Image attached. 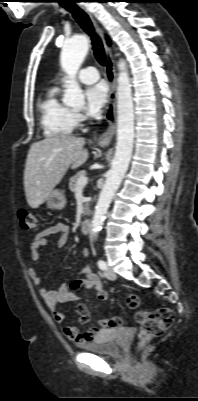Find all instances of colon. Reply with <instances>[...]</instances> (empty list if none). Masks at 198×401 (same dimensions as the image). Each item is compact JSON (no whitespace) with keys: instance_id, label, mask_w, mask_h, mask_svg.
<instances>
[{"instance_id":"1","label":"colon","mask_w":198,"mask_h":401,"mask_svg":"<svg viewBox=\"0 0 198 401\" xmlns=\"http://www.w3.org/2000/svg\"><path fill=\"white\" fill-rule=\"evenodd\" d=\"M18 218L22 229L36 230L38 228V219L34 213L28 210H20L18 212ZM126 303L130 309H137L140 306V298L137 294H128ZM77 313L82 322L88 320V312L86 309L78 307ZM135 319L141 324L139 332V350H142L148 342L161 336L172 325L174 315L170 308L161 307L152 312L139 310L135 315ZM102 323L110 328H120L124 326L125 321L120 317H111L102 320Z\"/></svg>"}]
</instances>
